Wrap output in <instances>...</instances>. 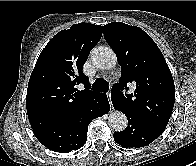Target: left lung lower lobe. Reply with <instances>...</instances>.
Wrapping results in <instances>:
<instances>
[{"mask_svg": "<svg viewBox=\"0 0 196 166\" xmlns=\"http://www.w3.org/2000/svg\"><path fill=\"white\" fill-rule=\"evenodd\" d=\"M125 115L128 119V126L121 132H114L113 135L115 142L122 147L146 146L158 138L165 129L151 123L142 122L130 114Z\"/></svg>", "mask_w": 196, "mask_h": 166, "instance_id": "1", "label": "left lung lower lobe"}]
</instances>
